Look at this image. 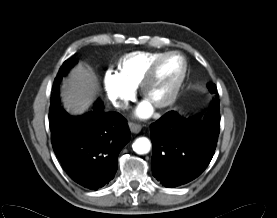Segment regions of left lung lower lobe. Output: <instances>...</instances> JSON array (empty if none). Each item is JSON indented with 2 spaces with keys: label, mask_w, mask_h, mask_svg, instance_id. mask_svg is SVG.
Wrapping results in <instances>:
<instances>
[{
  "label": "left lung lower lobe",
  "mask_w": 277,
  "mask_h": 218,
  "mask_svg": "<svg viewBox=\"0 0 277 218\" xmlns=\"http://www.w3.org/2000/svg\"><path fill=\"white\" fill-rule=\"evenodd\" d=\"M220 130L219 99L200 118L169 111L150 126L153 176L166 187L186 184L209 165Z\"/></svg>",
  "instance_id": "obj_1"
}]
</instances>
